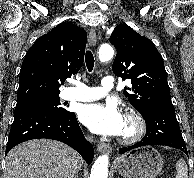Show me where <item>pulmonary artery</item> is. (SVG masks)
I'll return each mask as SVG.
<instances>
[{
    "label": "pulmonary artery",
    "instance_id": "1",
    "mask_svg": "<svg viewBox=\"0 0 194 178\" xmlns=\"http://www.w3.org/2000/svg\"><path fill=\"white\" fill-rule=\"evenodd\" d=\"M114 87V79L111 76L103 77L99 87H89L83 83H77L75 87L64 92V98L71 101L87 102L100 99Z\"/></svg>",
    "mask_w": 194,
    "mask_h": 178
}]
</instances>
